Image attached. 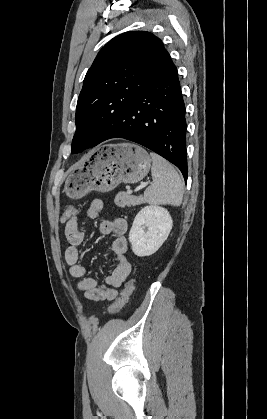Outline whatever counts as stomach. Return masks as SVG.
Wrapping results in <instances>:
<instances>
[{
    "mask_svg": "<svg viewBox=\"0 0 267 419\" xmlns=\"http://www.w3.org/2000/svg\"><path fill=\"white\" fill-rule=\"evenodd\" d=\"M151 158L141 146L133 143L104 144L68 175L64 192L70 198H81L90 191L109 192L120 183H137L149 172Z\"/></svg>",
    "mask_w": 267,
    "mask_h": 419,
    "instance_id": "stomach-1",
    "label": "stomach"
}]
</instances>
